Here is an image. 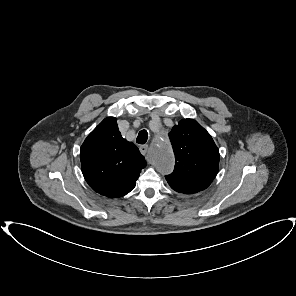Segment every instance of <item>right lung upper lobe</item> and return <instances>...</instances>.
I'll list each match as a JSON object with an SVG mask.
<instances>
[{"instance_id":"obj_1","label":"right lung upper lobe","mask_w":296,"mask_h":296,"mask_svg":"<svg viewBox=\"0 0 296 296\" xmlns=\"http://www.w3.org/2000/svg\"><path fill=\"white\" fill-rule=\"evenodd\" d=\"M82 172L90 187L109 198L129 193L146 161L132 142L121 136L116 118H105L81 146Z\"/></svg>"}]
</instances>
